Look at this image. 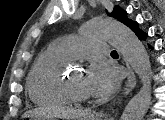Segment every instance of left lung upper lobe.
I'll use <instances>...</instances> for the list:
<instances>
[{
	"instance_id": "left-lung-upper-lobe-1",
	"label": "left lung upper lobe",
	"mask_w": 165,
	"mask_h": 120,
	"mask_svg": "<svg viewBox=\"0 0 165 120\" xmlns=\"http://www.w3.org/2000/svg\"><path fill=\"white\" fill-rule=\"evenodd\" d=\"M109 15L123 22L127 26H129L132 22L130 19L127 18L126 12L122 10L120 7H115Z\"/></svg>"
}]
</instances>
